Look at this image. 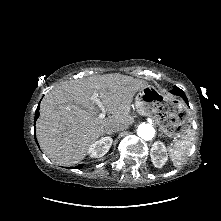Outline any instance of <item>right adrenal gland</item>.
Returning a JSON list of instances; mask_svg holds the SVG:
<instances>
[{
  "instance_id": "2a0ac1e0",
  "label": "right adrenal gland",
  "mask_w": 221,
  "mask_h": 221,
  "mask_svg": "<svg viewBox=\"0 0 221 221\" xmlns=\"http://www.w3.org/2000/svg\"><path fill=\"white\" fill-rule=\"evenodd\" d=\"M106 134L112 135L113 133L106 132Z\"/></svg>"
}]
</instances>
